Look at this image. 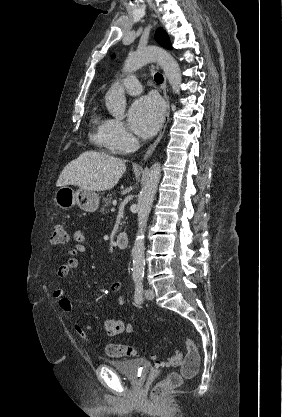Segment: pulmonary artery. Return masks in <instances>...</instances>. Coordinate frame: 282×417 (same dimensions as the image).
I'll return each instance as SVG.
<instances>
[{
	"instance_id": "pulmonary-artery-1",
	"label": "pulmonary artery",
	"mask_w": 282,
	"mask_h": 417,
	"mask_svg": "<svg viewBox=\"0 0 282 417\" xmlns=\"http://www.w3.org/2000/svg\"><path fill=\"white\" fill-rule=\"evenodd\" d=\"M124 89L131 95H137L141 92L142 86L137 76H127L122 80Z\"/></svg>"
}]
</instances>
